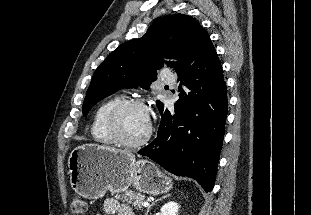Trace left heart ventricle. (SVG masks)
Segmentation results:
<instances>
[{
  "mask_svg": "<svg viewBox=\"0 0 311 215\" xmlns=\"http://www.w3.org/2000/svg\"><path fill=\"white\" fill-rule=\"evenodd\" d=\"M148 124V112L141 107H131L122 116V134L128 141H138L145 136Z\"/></svg>",
  "mask_w": 311,
  "mask_h": 215,
  "instance_id": "obj_1",
  "label": "left heart ventricle"
}]
</instances>
